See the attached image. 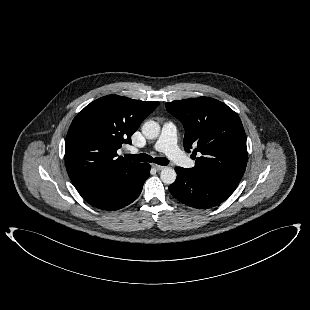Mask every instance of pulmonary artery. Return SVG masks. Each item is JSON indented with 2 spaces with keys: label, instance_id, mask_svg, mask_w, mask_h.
I'll return each mask as SVG.
<instances>
[{
  "label": "pulmonary artery",
  "instance_id": "1",
  "mask_svg": "<svg viewBox=\"0 0 310 310\" xmlns=\"http://www.w3.org/2000/svg\"><path fill=\"white\" fill-rule=\"evenodd\" d=\"M154 149L165 153L173 162L182 167H192L193 161L177 146V128L172 122H165Z\"/></svg>",
  "mask_w": 310,
  "mask_h": 310
}]
</instances>
